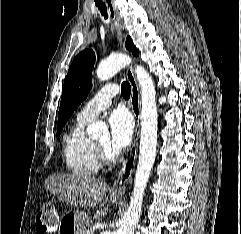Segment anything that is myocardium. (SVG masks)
Segmentation results:
<instances>
[{
	"label": "myocardium",
	"mask_w": 241,
	"mask_h": 234,
	"mask_svg": "<svg viewBox=\"0 0 241 234\" xmlns=\"http://www.w3.org/2000/svg\"><path fill=\"white\" fill-rule=\"evenodd\" d=\"M96 154L101 165H111L118 159L117 154L110 152L106 147L95 142Z\"/></svg>",
	"instance_id": "f54148a6"
}]
</instances>
